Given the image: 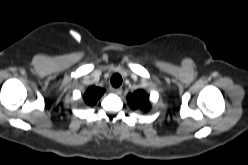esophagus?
Listing matches in <instances>:
<instances>
[{
    "instance_id": "34e87169",
    "label": "esophagus",
    "mask_w": 248,
    "mask_h": 165,
    "mask_svg": "<svg viewBox=\"0 0 248 165\" xmlns=\"http://www.w3.org/2000/svg\"><path fill=\"white\" fill-rule=\"evenodd\" d=\"M122 91H123V89H122L121 87L116 88V89L114 90V92H115L116 95H121V94H122Z\"/></svg>"
}]
</instances>
